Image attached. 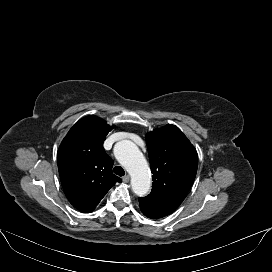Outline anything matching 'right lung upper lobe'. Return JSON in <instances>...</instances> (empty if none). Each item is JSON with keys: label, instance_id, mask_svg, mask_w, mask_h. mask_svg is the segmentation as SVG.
<instances>
[{"label": "right lung upper lobe", "instance_id": "right-lung-upper-lobe-1", "mask_svg": "<svg viewBox=\"0 0 272 272\" xmlns=\"http://www.w3.org/2000/svg\"><path fill=\"white\" fill-rule=\"evenodd\" d=\"M114 126L96 116L80 119L60 144L57 162L69 202L84 213L92 212L107 191L121 179L112 172L113 160L103 142Z\"/></svg>", "mask_w": 272, "mask_h": 272}]
</instances>
